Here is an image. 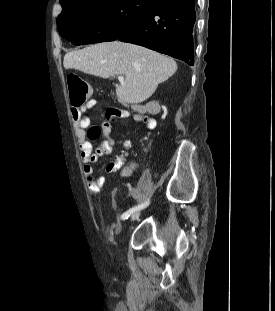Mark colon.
<instances>
[{"label":"colon","mask_w":275,"mask_h":311,"mask_svg":"<svg viewBox=\"0 0 275 311\" xmlns=\"http://www.w3.org/2000/svg\"><path fill=\"white\" fill-rule=\"evenodd\" d=\"M68 85L70 88V100L73 108L80 107L86 102L88 104H95L96 98L91 97L92 90L91 87L83 81L79 76L71 74L67 78ZM106 119L110 123H116L118 121L114 110H108L106 112ZM92 134L99 135L101 130L92 129Z\"/></svg>","instance_id":"colon-1"}]
</instances>
